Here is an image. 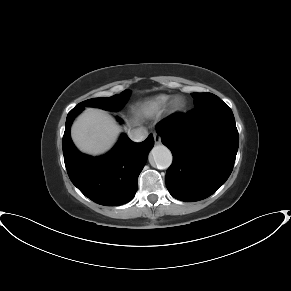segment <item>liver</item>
I'll use <instances>...</instances> for the list:
<instances>
[{
    "mask_svg": "<svg viewBox=\"0 0 291 291\" xmlns=\"http://www.w3.org/2000/svg\"><path fill=\"white\" fill-rule=\"evenodd\" d=\"M120 132V126L105 111L87 108L73 123L71 137L80 151L96 156L108 151Z\"/></svg>",
    "mask_w": 291,
    "mask_h": 291,
    "instance_id": "6515ba94",
    "label": "liver"
}]
</instances>
